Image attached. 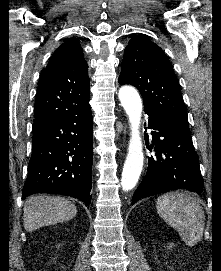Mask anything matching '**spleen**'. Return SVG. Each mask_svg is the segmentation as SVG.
<instances>
[{"label": "spleen", "mask_w": 221, "mask_h": 271, "mask_svg": "<svg viewBox=\"0 0 221 271\" xmlns=\"http://www.w3.org/2000/svg\"><path fill=\"white\" fill-rule=\"evenodd\" d=\"M157 211L171 227L177 229L186 245H196L204 231V211L197 199L188 193H164L157 199Z\"/></svg>", "instance_id": "3e777b00"}]
</instances>
